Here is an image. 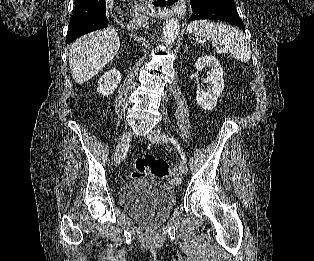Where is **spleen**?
Masks as SVG:
<instances>
[{"label": "spleen", "instance_id": "spleen-1", "mask_svg": "<svg viewBox=\"0 0 314 261\" xmlns=\"http://www.w3.org/2000/svg\"><path fill=\"white\" fill-rule=\"evenodd\" d=\"M187 31L212 40L219 54L229 53L242 63H247L251 59V48L245 35L231 25L198 20L190 23Z\"/></svg>", "mask_w": 314, "mask_h": 261}]
</instances>
